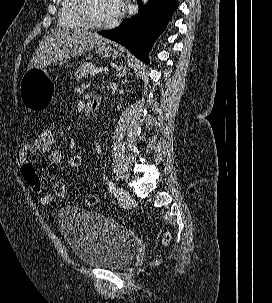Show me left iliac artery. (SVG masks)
Here are the masks:
<instances>
[{
  "label": "left iliac artery",
  "mask_w": 272,
  "mask_h": 303,
  "mask_svg": "<svg viewBox=\"0 0 272 303\" xmlns=\"http://www.w3.org/2000/svg\"><path fill=\"white\" fill-rule=\"evenodd\" d=\"M107 185H108L109 192L114 193L115 192V185H114V183L111 180H109L107 182Z\"/></svg>",
  "instance_id": "left-iliac-artery-1"
}]
</instances>
